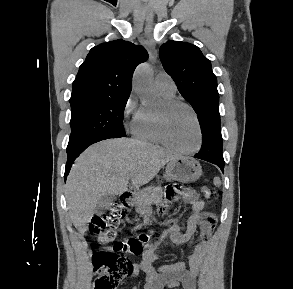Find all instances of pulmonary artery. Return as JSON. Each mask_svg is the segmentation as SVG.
Here are the masks:
<instances>
[{"label":"pulmonary artery","instance_id":"obj_1","mask_svg":"<svg viewBox=\"0 0 293 289\" xmlns=\"http://www.w3.org/2000/svg\"><path fill=\"white\" fill-rule=\"evenodd\" d=\"M155 86L160 92L167 94H173L176 90L173 79L167 73H160L156 76Z\"/></svg>","mask_w":293,"mask_h":289}]
</instances>
